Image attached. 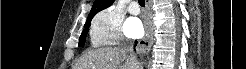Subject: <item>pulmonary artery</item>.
<instances>
[{
	"label": "pulmonary artery",
	"instance_id": "1",
	"mask_svg": "<svg viewBox=\"0 0 246 69\" xmlns=\"http://www.w3.org/2000/svg\"><path fill=\"white\" fill-rule=\"evenodd\" d=\"M129 12H130V14H133V15L139 14L140 10H139V8H138L136 3H132L130 5Z\"/></svg>",
	"mask_w": 246,
	"mask_h": 69
}]
</instances>
